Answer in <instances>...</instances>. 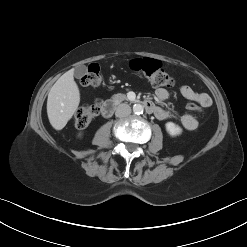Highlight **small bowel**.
Returning <instances> with one entry per match:
<instances>
[{
	"instance_id": "obj_1",
	"label": "small bowel",
	"mask_w": 247,
	"mask_h": 247,
	"mask_svg": "<svg viewBox=\"0 0 247 247\" xmlns=\"http://www.w3.org/2000/svg\"><path fill=\"white\" fill-rule=\"evenodd\" d=\"M180 93L184 98L199 105L200 107L205 108L212 104V99L207 93L197 92L188 85L181 86ZM155 96L158 100L164 101L168 99L169 93L164 88H158L155 90ZM153 113L160 120L171 118V113L163 107L156 106ZM179 122L181 126L188 131L195 130L199 125L198 120L190 114L181 116Z\"/></svg>"
}]
</instances>
